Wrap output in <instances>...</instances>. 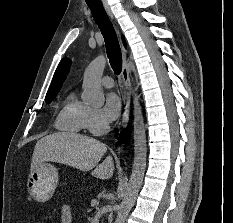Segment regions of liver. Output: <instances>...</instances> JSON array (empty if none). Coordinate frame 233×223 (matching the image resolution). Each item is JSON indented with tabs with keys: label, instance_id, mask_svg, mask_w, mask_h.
Returning a JSON list of instances; mask_svg holds the SVG:
<instances>
[{
	"label": "liver",
	"instance_id": "obj_1",
	"mask_svg": "<svg viewBox=\"0 0 233 223\" xmlns=\"http://www.w3.org/2000/svg\"><path fill=\"white\" fill-rule=\"evenodd\" d=\"M106 151L107 145L94 137L58 131L38 139L32 155L31 171L41 161H56L76 167L80 171L91 169V175L98 179H110L115 169L112 155H107L102 163H99Z\"/></svg>",
	"mask_w": 233,
	"mask_h": 223
}]
</instances>
